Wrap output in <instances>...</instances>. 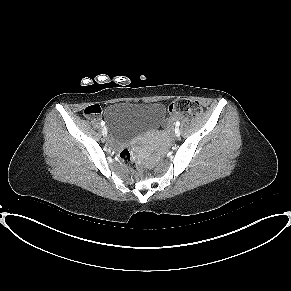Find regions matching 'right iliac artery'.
I'll use <instances>...</instances> for the list:
<instances>
[{
    "mask_svg": "<svg viewBox=\"0 0 291 291\" xmlns=\"http://www.w3.org/2000/svg\"><path fill=\"white\" fill-rule=\"evenodd\" d=\"M101 125L104 126L105 125V122L104 121H101Z\"/></svg>",
    "mask_w": 291,
    "mask_h": 291,
    "instance_id": "1",
    "label": "right iliac artery"
}]
</instances>
